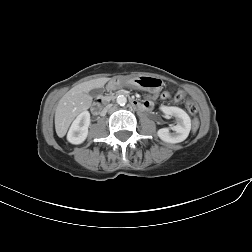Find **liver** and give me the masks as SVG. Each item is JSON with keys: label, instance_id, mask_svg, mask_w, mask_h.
Returning <instances> with one entry per match:
<instances>
[{"label": "liver", "instance_id": "liver-1", "mask_svg": "<svg viewBox=\"0 0 252 252\" xmlns=\"http://www.w3.org/2000/svg\"><path fill=\"white\" fill-rule=\"evenodd\" d=\"M110 79L98 78L83 82L70 89L59 101L55 113V129L59 137H63L71 122L82 111L88 109L92 103L89 92L102 88Z\"/></svg>", "mask_w": 252, "mask_h": 252}]
</instances>
